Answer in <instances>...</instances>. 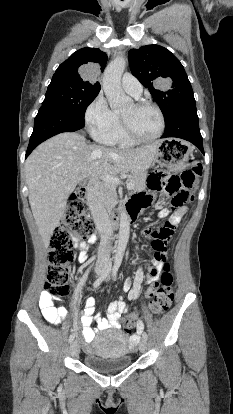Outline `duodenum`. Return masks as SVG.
Masks as SVG:
<instances>
[{"mask_svg": "<svg viewBox=\"0 0 233 414\" xmlns=\"http://www.w3.org/2000/svg\"><path fill=\"white\" fill-rule=\"evenodd\" d=\"M84 201L86 202V201H88V199L87 200L85 199ZM136 215H137L136 212L133 209H130V210L124 212V213L123 212H117L115 214V218L119 219L121 217H124L126 220L131 221V220L136 218Z\"/></svg>", "mask_w": 233, "mask_h": 414, "instance_id": "1", "label": "duodenum"}]
</instances>
